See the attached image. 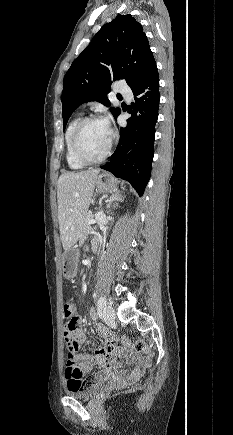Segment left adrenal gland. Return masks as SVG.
I'll return each mask as SVG.
<instances>
[{"label":"left adrenal gland","mask_w":233,"mask_h":435,"mask_svg":"<svg viewBox=\"0 0 233 435\" xmlns=\"http://www.w3.org/2000/svg\"><path fill=\"white\" fill-rule=\"evenodd\" d=\"M124 198H125V197L122 195V192H117L116 194H112V195L110 196V198L107 200V209L110 208V206H111V204H112L113 202H116V201H123Z\"/></svg>","instance_id":"a2214340"}]
</instances>
